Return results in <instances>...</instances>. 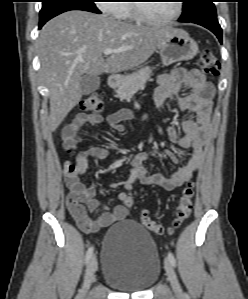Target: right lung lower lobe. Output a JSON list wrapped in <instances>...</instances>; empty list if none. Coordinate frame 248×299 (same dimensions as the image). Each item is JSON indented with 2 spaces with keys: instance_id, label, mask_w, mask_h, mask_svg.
<instances>
[{
  "instance_id": "obj_1",
  "label": "right lung lower lobe",
  "mask_w": 248,
  "mask_h": 299,
  "mask_svg": "<svg viewBox=\"0 0 248 299\" xmlns=\"http://www.w3.org/2000/svg\"><path fill=\"white\" fill-rule=\"evenodd\" d=\"M45 22H47V21L40 22V23H39V27L41 28V27L45 24Z\"/></svg>"
}]
</instances>
